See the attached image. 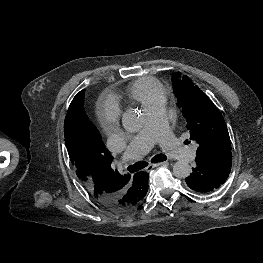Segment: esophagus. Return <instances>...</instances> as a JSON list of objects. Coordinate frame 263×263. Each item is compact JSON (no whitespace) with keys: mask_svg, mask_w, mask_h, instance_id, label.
<instances>
[{"mask_svg":"<svg viewBox=\"0 0 263 263\" xmlns=\"http://www.w3.org/2000/svg\"><path fill=\"white\" fill-rule=\"evenodd\" d=\"M168 164L167 162H161V163H154L147 166L146 170L151 171L153 168L158 167L160 165Z\"/></svg>","mask_w":263,"mask_h":263,"instance_id":"esophagus-1","label":"esophagus"}]
</instances>
